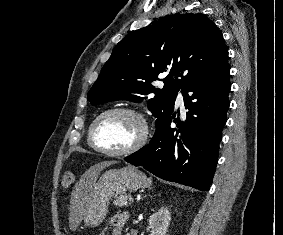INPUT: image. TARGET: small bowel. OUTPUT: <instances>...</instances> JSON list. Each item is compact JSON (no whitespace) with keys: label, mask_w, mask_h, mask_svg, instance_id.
<instances>
[{"label":"small bowel","mask_w":283,"mask_h":235,"mask_svg":"<svg viewBox=\"0 0 283 235\" xmlns=\"http://www.w3.org/2000/svg\"><path fill=\"white\" fill-rule=\"evenodd\" d=\"M128 220V213L122 212L114 215L110 220L111 235H121L123 226Z\"/></svg>","instance_id":"1"}]
</instances>
